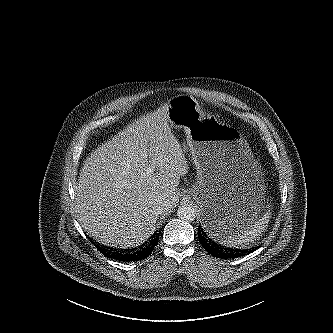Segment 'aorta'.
I'll use <instances>...</instances> for the list:
<instances>
[{
    "instance_id": "762f6f07",
    "label": "aorta",
    "mask_w": 333,
    "mask_h": 333,
    "mask_svg": "<svg viewBox=\"0 0 333 333\" xmlns=\"http://www.w3.org/2000/svg\"><path fill=\"white\" fill-rule=\"evenodd\" d=\"M177 215L182 221L191 222L196 218V210L193 206L185 204L178 208Z\"/></svg>"
}]
</instances>
